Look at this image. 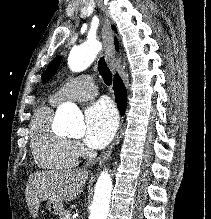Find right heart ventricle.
<instances>
[{"instance_id": "1", "label": "right heart ventricle", "mask_w": 211, "mask_h": 219, "mask_svg": "<svg viewBox=\"0 0 211 219\" xmlns=\"http://www.w3.org/2000/svg\"><path fill=\"white\" fill-rule=\"evenodd\" d=\"M56 104L41 106L31 122L30 139L36 164L45 169H64L77 164L78 153L72 142L52 129L53 109Z\"/></svg>"}]
</instances>
